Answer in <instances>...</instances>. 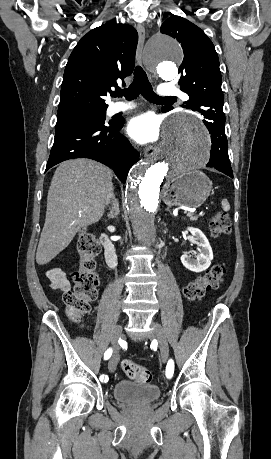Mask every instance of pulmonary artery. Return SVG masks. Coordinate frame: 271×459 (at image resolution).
Here are the masks:
<instances>
[{"instance_id": "obj_1", "label": "pulmonary artery", "mask_w": 271, "mask_h": 459, "mask_svg": "<svg viewBox=\"0 0 271 459\" xmlns=\"http://www.w3.org/2000/svg\"><path fill=\"white\" fill-rule=\"evenodd\" d=\"M162 89L158 91V96L160 98H171V97H177L181 96L182 92L175 90L174 84L171 81L163 82L161 84ZM180 101L182 103H185L187 101V98L185 96H182L180 98ZM137 108V104L134 102H129V101H124V100H119L112 102L106 109V115L107 116H112L114 114L120 113V112H128L132 111Z\"/></svg>"}]
</instances>
